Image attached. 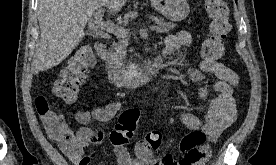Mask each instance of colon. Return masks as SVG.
<instances>
[{"mask_svg":"<svg viewBox=\"0 0 276 165\" xmlns=\"http://www.w3.org/2000/svg\"><path fill=\"white\" fill-rule=\"evenodd\" d=\"M205 11L210 19L208 37L205 39L201 56L204 60L216 61L224 54V43L230 32V10L225 0H205ZM95 58L91 47H80L69 59L59 78L53 85V93L65 102L77 99L80 87L85 80V72L94 64ZM36 110L47 122V132L58 140L67 150H75L77 141L63 122L62 117L51 110L44 97L35 99ZM140 116L138 109L124 111L116 127L110 134V141L114 146H125L133 137ZM45 126V125H44ZM160 131H150L146 137L137 144V151L153 153L162 145ZM206 134L202 131L187 133L180 142V150L185 155L193 157L204 146Z\"/></svg>","mask_w":276,"mask_h":165,"instance_id":"obj_1","label":"colon"}]
</instances>
